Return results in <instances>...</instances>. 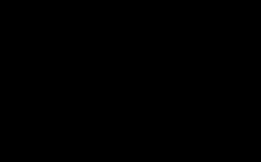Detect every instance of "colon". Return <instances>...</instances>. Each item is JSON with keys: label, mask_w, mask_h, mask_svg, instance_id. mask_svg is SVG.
Instances as JSON below:
<instances>
[{"label": "colon", "mask_w": 261, "mask_h": 162, "mask_svg": "<svg viewBox=\"0 0 261 162\" xmlns=\"http://www.w3.org/2000/svg\"><path fill=\"white\" fill-rule=\"evenodd\" d=\"M112 26H110L108 29H106L107 32H111L112 31ZM82 59L85 63H89L92 61L93 56L91 54V52L88 49H85L82 55Z\"/></svg>", "instance_id": "colon-1"}]
</instances>
